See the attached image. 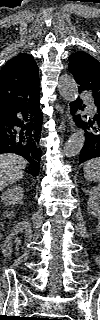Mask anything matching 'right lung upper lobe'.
<instances>
[{
  "label": "right lung upper lobe",
  "mask_w": 100,
  "mask_h": 320,
  "mask_svg": "<svg viewBox=\"0 0 100 320\" xmlns=\"http://www.w3.org/2000/svg\"><path fill=\"white\" fill-rule=\"evenodd\" d=\"M39 92L38 67L29 54L9 60L0 71V111Z\"/></svg>",
  "instance_id": "right-lung-upper-lobe-1"
}]
</instances>
